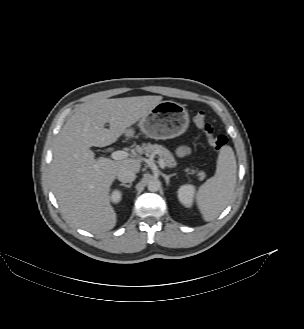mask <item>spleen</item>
Here are the masks:
<instances>
[{
	"mask_svg": "<svg viewBox=\"0 0 304 329\" xmlns=\"http://www.w3.org/2000/svg\"><path fill=\"white\" fill-rule=\"evenodd\" d=\"M236 158L230 146L221 148L216 173L202 184L196 200L205 221H212L227 207L236 186Z\"/></svg>",
	"mask_w": 304,
	"mask_h": 329,
	"instance_id": "1",
	"label": "spleen"
}]
</instances>
